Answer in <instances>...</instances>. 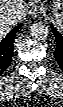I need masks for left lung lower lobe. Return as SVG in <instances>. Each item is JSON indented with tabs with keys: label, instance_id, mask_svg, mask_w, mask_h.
Here are the masks:
<instances>
[{
	"label": "left lung lower lobe",
	"instance_id": "obj_1",
	"mask_svg": "<svg viewBox=\"0 0 63 107\" xmlns=\"http://www.w3.org/2000/svg\"><path fill=\"white\" fill-rule=\"evenodd\" d=\"M52 32L56 39V49L54 52L55 60L63 69V36L51 25Z\"/></svg>",
	"mask_w": 63,
	"mask_h": 107
}]
</instances>
